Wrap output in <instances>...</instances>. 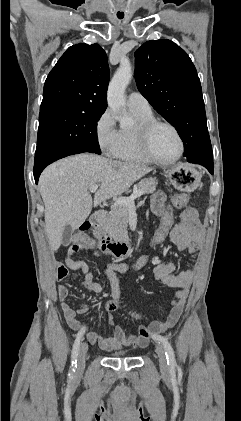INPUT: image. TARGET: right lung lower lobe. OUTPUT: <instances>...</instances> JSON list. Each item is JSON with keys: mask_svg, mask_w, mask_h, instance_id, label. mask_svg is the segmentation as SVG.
<instances>
[{"mask_svg": "<svg viewBox=\"0 0 241 421\" xmlns=\"http://www.w3.org/2000/svg\"><path fill=\"white\" fill-rule=\"evenodd\" d=\"M78 153H83V152H80V151L71 152V153L64 154L62 156H57V157H55L53 159H50L48 161H43V162L35 163L34 164V178H35L36 183L38 182V178H39L41 172L43 171V169L46 166H48L50 163H52V162H54V161H56V160H58L60 158H63V157L69 156V155H73V154H78Z\"/></svg>", "mask_w": 241, "mask_h": 421, "instance_id": "right-lung-lower-lobe-1", "label": "right lung lower lobe"}]
</instances>
